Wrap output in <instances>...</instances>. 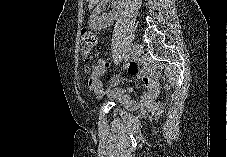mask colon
Returning <instances> with one entry per match:
<instances>
[{
    "instance_id": "1",
    "label": "colon",
    "mask_w": 227,
    "mask_h": 157,
    "mask_svg": "<svg viewBox=\"0 0 227 157\" xmlns=\"http://www.w3.org/2000/svg\"><path fill=\"white\" fill-rule=\"evenodd\" d=\"M81 45L83 49V57H84V71L90 72L92 68V64L95 59V55L92 50L97 45V36L96 34L87 28L82 29L81 31ZM91 78V77H90ZM90 78L88 80V84L90 82Z\"/></svg>"
}]
</instances>
